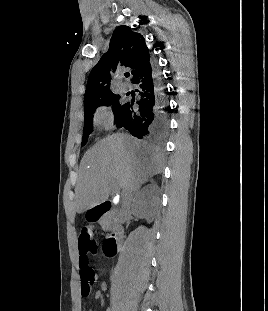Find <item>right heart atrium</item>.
I'll use <instances>...</instances> for the list:
<instances>
[{
    "label": "right heart atrium",
    "instance_id": "right-heart-atrium-1",
    "mask_svg": "<svg viewBox=\"0 0 268 311\" xmlns=\"http://www.w3.org/2000/svg\"><path fill=\"white\" fill-rule=\"evenodd\" d=\"M96 123L103 129H110L113 124V116L107 107H101L95 113Z\"/></svg>",
    "mask_w": 268,
    "mask_h": 311
}]
</instances>
